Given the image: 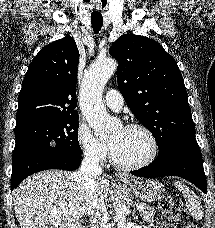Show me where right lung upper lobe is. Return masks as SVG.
I'll use <instances>...</instances> for the list:
<instances>
[{
  "label": "right lung upper lobe",
  "mask_w": 215,
  "mask_h": 228,
  "mask_svg": "<svg viewBox=\"0 0 215 228\" xmlns=\"http://www.w3.org/2000/svg\"><path fill=\"white\" fill-rule=\"evenodd\" d=\"M79 51L66 36L44 46L28 66L19 93L16 124L78 115L75 110Z\"/></svg>",
  "instance_id": "obj_1"
}]
</instances>
